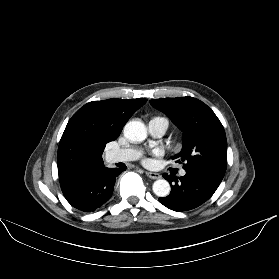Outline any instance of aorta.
<instances>
[{
  "label": "aorta",
  "mask_w": 279,
  "mask_h": 279,
  "mask_svg": "<svg viewBox=\"0 0 279 279\" xmlns=\"http://www.w3.org/2000/svg\"><path fill=\"white\" fill-rule=\"evenodd\" d=\"M124 135L132 142H142L147 137V128L141 121H130L124 127ZM152 189L158 197H166L171 187L167 180L159 179L154 182Z\"/></svg>",
  "instance_id": "1"
}]
</instances>
